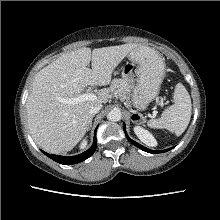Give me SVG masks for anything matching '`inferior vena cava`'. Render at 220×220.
Masks as SVG:
<instances>
[{"mask_svg": "<svg viewBox=\"0 0 220 220\" xmlns=\"http://www.w3.org/2000/svg\"><path fill=\"white\" fill-rule=\"evenodd\" d=\"M101 108H102L101 104H95L89 108L88 113L90 116L95 115L100 111Z\"/></svg>", "mask_w": 220, "mask_h": 220, "instance_id": "1", "label": "inferior vena cava"}]
</instances>
